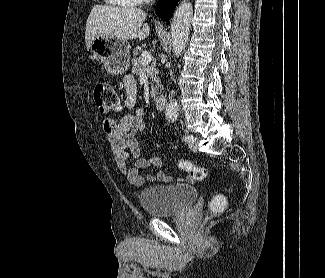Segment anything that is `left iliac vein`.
Instances as JSON below:
<instances>
[{
	"mask_svg": "<svg viewBox=\"0 0 325 278\" xmlns=\"http://www.w3.org/2000/svg\"><path fill=\"white\" fill-rule=\"evenodd\" d=\"M197 143H198L197 138H194L193 141L189 143V148L191 151H193V152L197 151Z\"/></svg>",
	"mask_w": 325,
	"mask_h": 278,
	"instance_id": "left-iliac-vein-1",
	"label": "left iliac vein"
}]
</instances>
